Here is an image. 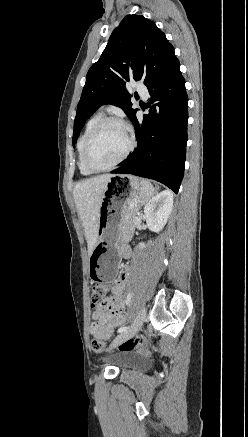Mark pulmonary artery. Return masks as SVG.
<instances>
[{
	"instance_id": "1",
	"label": "pulmonary artery",
	"mask_w": 248,
	"mask_h": 437,
	"mask_svg": "<svg viewBox=\"0 0 248 437\" xmlns=\"http://www.w3.org/2000/svg\"><path fill=\"white\" fill-rule=\"evenodd\" d=\"M136 90L144 99L148 97V91L144 86L137 85Z\"/></svg>"
}]
</instances>
